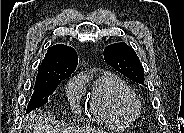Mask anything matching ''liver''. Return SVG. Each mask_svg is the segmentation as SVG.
Wrapping results in <instances>:
<instances>
[{
    "label": "liver",
    "mask_w": 184,
    "mask_h": 133,
    "mask_svg": "<svg viewBox=\"0 0 184 133\" xmlns=\"http://www.w3.org/2000/svg\"><path fill=\"white\" fill-rule=\"evenodd\" d=\"M29 122H33L32 126L30 123V129L32 133H54V129L52 126L48 124L47 118L41 110H37L36 112L30 113V117H27ZM68 133H103L100 129L94 128H79L74 127L70 128L68 131H64Z\"/></svg>",
    "instance_id": "liver-1"
}]
</instances>
